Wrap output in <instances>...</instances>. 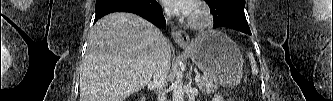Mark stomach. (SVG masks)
<instances>
[{"label":"stomach","instance_id":"0dacf381","mask_svg":"<svg viewBox=\"0 0 333 101\" xmlns=\"http://www.w3.org/2000/svg\"><path fill=\"white\" fill-rule=\"evenodd\" d=\"M193 62L214 82L235 87L242 79L243 58L237 45L224 33L210 30L186 47Z\"/></svg>","mask_w":333,"mask_h":101}]
</instances>
